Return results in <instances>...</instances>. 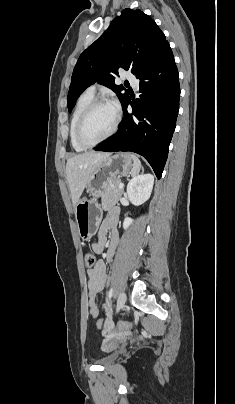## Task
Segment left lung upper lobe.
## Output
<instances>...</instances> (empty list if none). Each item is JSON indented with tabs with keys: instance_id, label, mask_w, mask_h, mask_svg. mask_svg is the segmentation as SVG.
<instances>
[{
	"instance_id": "1",
	"label": "left lung upper lobe",
	"mask_w": 235,
	"mask_h": 404,
	"mask_svg": "<svg viewBox=\"0 0 235 404\" xmlns=\"http://www.w3.org/2000/svg\"><path fill=\"white\" fill-rule=\"evenodd\" d=\"M166 44L164 33L150 16L140 10L124 9L80 55L68 93L69 112L80 94L97 81L112 89L123 104L129 95L114 82L118 69L131 70L135 75Z\"/></svg>"
}]
</instances>
